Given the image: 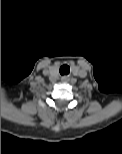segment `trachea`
<instances>
[{
  "mask_svg": "<svg viewBox=\"0 0 122 154\" xmlns=\"http://www.w3.org/2000/svg\"><path fill=\"white\" fill-rule=\"evenodd\" d=\"M61 75H67L70 72V68L68 65H62L59 70Z\"/></svg>",
  "mask_w": 122,
  "mask_h": 154,
  "instance_id": "obj_1",
  "label": "trachea"
}]
</instances>
